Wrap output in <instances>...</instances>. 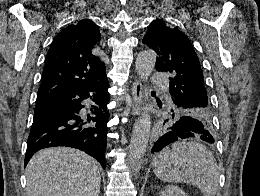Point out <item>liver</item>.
Listing matches in <instances>:
<instances>
[{
  "instance_id": "liver-1",
  "label": "liver",
  "mask_w": 260,
  "mask_h": 196,
  "mask_svg": "<svg viewBox=\"0 0 260 196\" xmlns=\"http://www.w3.org/2000/svg\"><path fill=\"white\" fill-rule=\"evenodd\" d=\"M27 196H99V164L74 148H45L26 168Z\"/></svg>"
}]
</instances>
